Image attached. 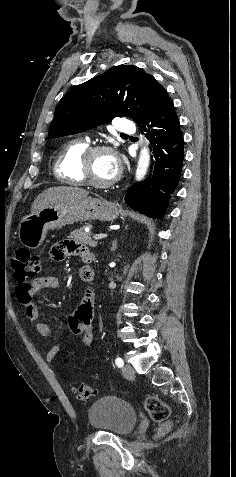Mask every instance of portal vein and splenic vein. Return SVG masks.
<instances>
[{
    "label": "portal vein and splenic vein",
    "mask_w": 236,
    "mask_h": 477,
    "mask_svg": "<svg viewBox=\"0 0 236 477\" xmlns=\"http://www.w3.org/2000/svg\"><path fill=\"white\" fill-rule=\"evenodd\" d=\"M106 237H107V234H104V233L96 234V235L93 236V238L95 240H101V239L106 238Z\"/></svg>",
    "instance_id": "18ae733b"
}]
</instances>
